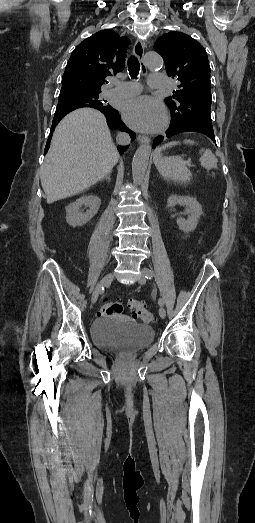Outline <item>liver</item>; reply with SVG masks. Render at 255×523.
Returning a JSON list of instances; mask_svg holds the SVG:
<instances>
[{"label":"liver","instance_id":"6515ba94","mask_svg":"<svg viewBox=\"0 0 255 523\" xmlns=\"http://www.w3.org/2000/svg\"><path fill=\"white\" fill-rule=\"evenodd\" d=\"M118 160L105 116L92 108L71 112L55 128L41 166L47 204L90 188L110 174Z\"/></svg>","mask_w":255,"mask_h":523}]
</instances>
